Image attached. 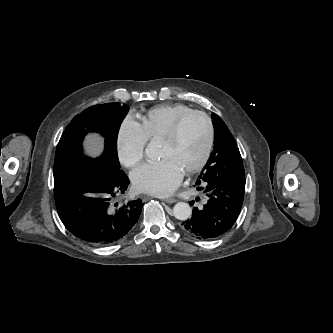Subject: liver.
Wrapping results in <instances>:
<instances>
[{"mask_svg": "<svg viewBox=\"0 0 333 333\" xmlns=\"http://www.w3.org/2000/svg\"><path fill=\"white\" fill-rule=\"evenodd\" d=\"M88 150L92 153H97L100 150L101 144L97 138L89 137L87 140Z\"/></svg>", "mask_w": 333, "mask_h": 333, "instance_id": "obj_1", "label": "liver"}]
</instances>
